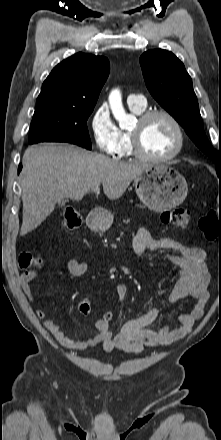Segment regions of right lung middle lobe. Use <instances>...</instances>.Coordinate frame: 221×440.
Listing matches in <instances>:
<instances>
[{
  "label": "right lung middle lobe",
  "mask_w": 221,
  "mask_h": 440,
  "mask_svg": "<svg viewBox=\"0 0 221 440\" xmlns=\"http://www.w3.org/2000/svg\"><path fill=\"white\" fill-rule=\"evenodd\" d=\"M94 107L45 101L37 104L30 126L29 144L68 142L91 149L86 121Z\"/></svg>",
  "instance_id": "dd1d6c3e"
}]
</instances>
